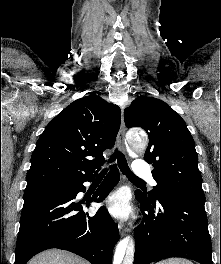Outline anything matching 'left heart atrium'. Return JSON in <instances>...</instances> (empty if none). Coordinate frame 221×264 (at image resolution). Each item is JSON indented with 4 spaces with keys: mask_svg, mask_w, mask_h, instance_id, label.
I'll return each mask as SVG.
<instances>
[{
    "mask_svg": "<svg viewBox=\"0 0 221 264\" xmlns=\"http://www.w3.org/2000/svg\"><path fill=\"white\" fill-rule=\"evenodd\" d=\"M105 205L109 213L118 219H126L131 213L128 195L123 190L110 194L105 200Z\"/></svg>",
    "mask_w": 221,
    "mask_h": 264,
    "instance_id": "obj_1",
    "label": "left heart atrium"
}]
</instances>
